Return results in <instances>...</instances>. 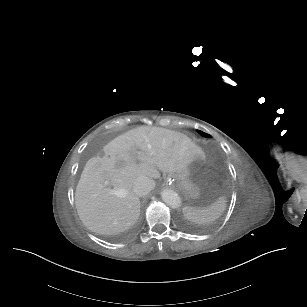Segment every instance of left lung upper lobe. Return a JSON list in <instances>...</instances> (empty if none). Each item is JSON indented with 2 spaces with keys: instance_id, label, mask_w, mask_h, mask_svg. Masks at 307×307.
Returning <instances> with one entry per match:
<instances>
[{
  "instance_id": "obj_1",
  "label": "left lung upper lobe",
  "mask_w": 307,
  "mask_h": 307,
  "mask_svg": "<svg viewBox=\"0 0 307 307\" xmlns=\"http://www.w3.org/2000/svg\"><path fill=\"white\" fill-rule=\"evenodd\" d=\"M200 132V134L202 135V136H204V137H210V135H208V134H206V133H204V132H202V131H199Z\"/></svg>"
}]
</instances>
